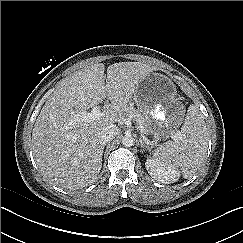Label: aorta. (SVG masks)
I'll return each instance as SVG.
<instances>
[{"label": "aorta", "instance_id": "1", "mask_svg": "<svg viewBox=\"0 0 243 243\" xmlns=\"http://www.w3.org/2000/svg\"><path fill=\"white\" fill-rule=\"evenodd\" d=\"M122 144L125 147H131L134 144V138L131 135H124L122 138Z\"/></svg>", "mask_w": 243, "mask_h": 243}]
</instances>
